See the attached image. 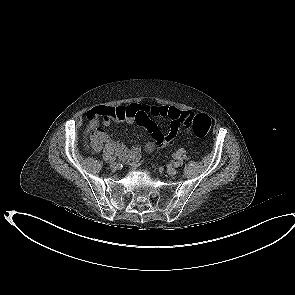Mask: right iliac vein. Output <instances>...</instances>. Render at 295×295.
<instances>
[{
	"label": "right iliac vein",
	"instance_id": "63e3f726",
	"mask_svg": "<svg viewBox=\"0 0 295 295\" xmlns=\"http://www.w3.org/2000/svg\"><path fill=\"white\" fill-rule=\"evenodd\" d=\"M110 167H111L112 169L116 170V169H118V163H116V162H111Z\"/></svg>",
	"mask_w": 295,
	"mask_h": 295
}]
</instances>
